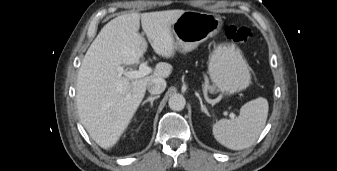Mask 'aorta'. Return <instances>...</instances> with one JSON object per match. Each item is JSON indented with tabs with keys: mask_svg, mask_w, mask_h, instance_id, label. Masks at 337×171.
<instances>
[{
	"mask_svg": "<svg viewBox=\"0 0 337 171\" xmlns=\"http://www.w3.org/2000/svg\"><path fill=\"white\" fill-rule=\"evenodd\" d=\"M170 109L174 111H181L186 105V100L181 94H173L168 101Z\"/></svg>",
	"mask_w": 337,
	"mask_h": 171,
	"instance_id": "obj_1",
	"label": "aorta"
}]
</instances>
